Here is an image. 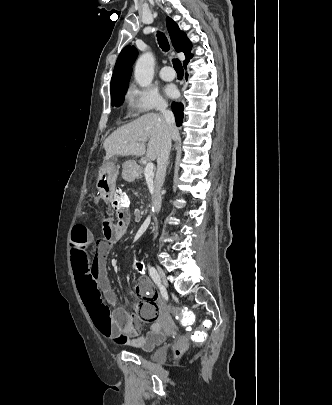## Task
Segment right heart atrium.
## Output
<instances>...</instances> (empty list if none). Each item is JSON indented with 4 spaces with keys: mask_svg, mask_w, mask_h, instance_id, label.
Here are the masks:
<instances>
[{
    "mask_svg": "<svg viewBox=\"0 0 332 405\" xmlns=\"http://www.w3.org/2000/svg\"><path fill=\"white\" fill-rule=\"evenodd\" d=\"M129 106L136 115H145L154 111L163 110L167 102L154 88H140L132 85L128 93Z\"/></svg>",
    "mask_w": 332,
    "mask_h": 405,
    "instance_id": "1",
    "label": "right heart atrium"
}]
</instances>
